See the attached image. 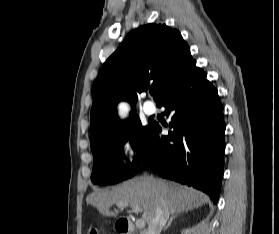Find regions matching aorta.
<instances>
[{"label":"aorta","instance_id":"1","mask_svg":"<svg viewBox=\"0 0 279 234\" xmlns=\"http://www.w3.org/2000/svg\"><path fill=\"white\" fill-rule=\"evenodd\" d=\"M127 112V108L125 104H120L119 105V113L121 116H125Z\"/></svg>","mask_w":279,"mask_h":234}]
</instances>
